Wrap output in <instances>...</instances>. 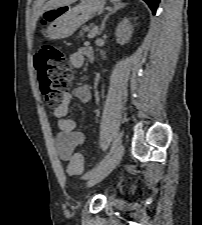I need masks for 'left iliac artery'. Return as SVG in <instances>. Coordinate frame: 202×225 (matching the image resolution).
<instances>
[{
  "instance_id": "obj_1",
  "label": "left iliac artery",
  "mask_w": 202,
  "mask_h": 225,
  "mask_svg": "<svg viewBox=\"0 0 202 225\" xmlns=\"http://www.w3.org/2000/svg\"><path fill=\"white\" fill-rule=\"evenodd\" d=\"M119 142H120L119 139H116L113 142L110 152L105 156V158L95 168H93L90 172H88L84 175L85 179H93L102 171V169L105 167L107 162L110 160L111 153H113L115 148L118 146Z\"/></svg>"
}]
</instances>
